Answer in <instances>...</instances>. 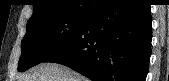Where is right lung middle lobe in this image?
<instances>
[{"instance_id": "dd1d6c3e", "label": "right lung middle lobe", "mask_w": 169, "mask_h": 81, "mask_svg": "<svg viewBox=\"0 0 169 81\" xmlns=\"http://www.w3.org/2000/svg\"><path fill=\"white\" fill-rule=\"evenodd\" d=\"M82 16H50L27 23L18 71L23 72L71 41L87 22Z\"/></svg>"}]
</instances>
